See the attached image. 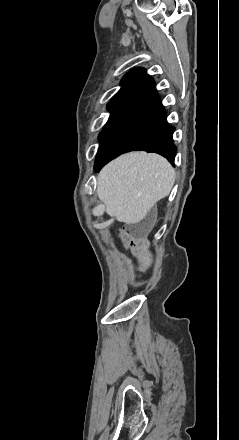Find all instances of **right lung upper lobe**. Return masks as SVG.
I'll return each instance as SVG.
<instances>
[{"mask_svg":"<svg viewBox=\"0 0 239 440\" xmlns=\"http://www.w3.org/2000/svg\"><path fill=\"white\" fill-rule=\"evenodd\" d=\"M122 88L109 103L129 101L141 97L155 88L154 80L143 68H136L128 72L121 81Z\"/></svg>","mask_w":239,"mask_h":440,"instance_id":"cb5924a9","label":"right lung upper lobe"}]
</instances>
